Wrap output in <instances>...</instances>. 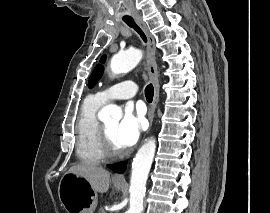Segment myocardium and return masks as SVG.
Listing matches in <instances>:
<instances>
[{"label": "myocardium", "instance_id": "obj_1", "mask_svg": "<svg viewBox=\"0 0 270 213\" xmlns=\"http://www.w3.org/2000/svg\"><path fill=\"white\" fill-rule=\"evenodd\" d=\"M100 142L106 158H116L123 154L121 150L116 149L103 124H100Z\"/></svg>", "mask_w": 270, "mask_h": 213}]
</instances>
